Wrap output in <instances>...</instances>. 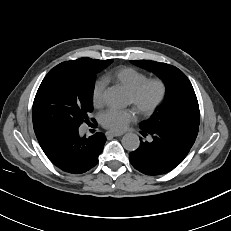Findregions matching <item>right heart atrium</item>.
<instances>
[{
    "instance_id": "right-heart-atrium-1",
    "label": "right heart atrium",
    "mask_w": 231,
    "mask_h": 231,
    "mask_svg": "<svg viewBox=\"0 0 231 231\" xmlns=\"http://www.w3.org/2000/svg\"><path fill=\"white\" fill-rule=\"evenodd\" d=\"M105 87L106 84L103 79H100L94 83L91 92L92 103L94 106L98 107L103 104Z\"/></svg>"
}]
</instances>
